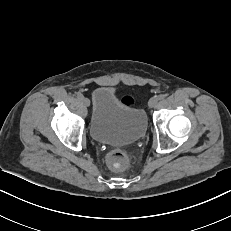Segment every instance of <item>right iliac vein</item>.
Returning <instances> with one entry per match:
<instances>
[{
  "mask_svg": "<svg viewBox=\"0 0 231 231\" xmlns=\"http://www.w3.org/2000/svg\"><path fill=\"white\" fill-rule=\"evenodd\" d=\"M82 103L85 105V106H89L90 105V100L88 98H83L82 99Z\"/></svg>",
  "mask_w": 231,
  "mask_h": 231,
  "instance_id": "right-iliac-vein-1",
  "label": "right iliac vein"
}]
</instances>
